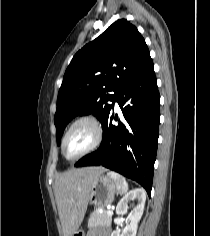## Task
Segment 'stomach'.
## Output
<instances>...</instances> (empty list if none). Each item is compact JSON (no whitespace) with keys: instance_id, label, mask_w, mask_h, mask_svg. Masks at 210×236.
<instances>
[{"instance_id":"0dacf381","label":"stomach","mask_w":210,"mask_h":236,"mask_svg":"<svg viewBox=\"0 0 210 236\" xmlns=\"http://www.w3.org/2000/svg\"><path fill=\"white\" fill-rule=\"evenodd\" d=\"M117 190V182L111 176L100 175L92 182L88 202L103 208L112 203ZM72 236H85V233L83 230H77Z\"/></svg>"}]
</instances>
